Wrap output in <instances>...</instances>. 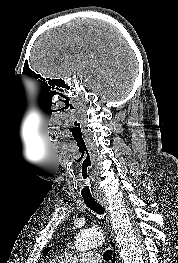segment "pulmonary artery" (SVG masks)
<instances>
[{
	"mask_svg": "<svg viewBox=\"0 0 178 263\" xmlns=\"http://www.w3.org/2000/svg\"><path fill=\"white\" fill-rule=\"evenodd\" d=\"M70 258H71V254L65 253L60 262L67 263L70 261ZM76 259L80 263H101L100 255L94 251L83 253L79 255L78 258Z\"/></svg>",
	"mask_w": 178,
	"mask_h": 263,
	"instance_id": "e3ab8cb5",
	"label": "pulmonary artery"
}]
</instances>
